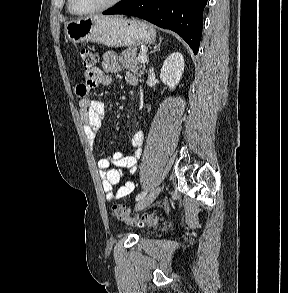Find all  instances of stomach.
<instances>
[{
  "label": "stomach",
  "instance_id": "stomach-1",
  "mask_svg": "<svg viewBox=\"0 0 288 293\" xmlns=\"http://www.w3.org/2000/svg\"><path fill=\"white\" fill-rule=\"evenodd\" d=\"M68 41L102 43L109 47H135L155 41V31L145 22L121 16L94 15L69 21L65 25Z\"/></svg>",
  "mask_w": 288,
  "mask_h": 293
}]
</instances>
